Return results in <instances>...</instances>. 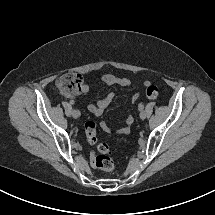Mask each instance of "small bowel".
Here are the masks:
<instances>
[{
	"label": "small bowel",
	"instance_id": "obj_1",
	"mask_svg": "<svg viewBox=\"0 0 215 215\" xmlns=\"http://www.w3.org/2000/svg\"><path fill=\"white\" fill-rule=\"evenodd\" d=\"M102 81L106 84V85H118L121 87H128L131 85V81L128 78L125 77H117L113 74H104L102 76ZM146 84H148V82H146ZM88 91V86L84 85L83 86V92H87ZM114 93L110 92L108 94H106L104 97H102L101 99H99L98 101H96L95 103L89 104L87 109L88 111L95 115V116H100L102 115V113L104 112V110L113 102L114 100ZM139 97L138 93H135L132 97L133 101H136ZM133 124V117L131 115H129L126 119L125 122L123 124V126L120 128L119 132L123 133L125 135H128L131 131V127ZM102 128L106 131V132H112V129L106 124V123H102Z\"/></svg>",
	"mask_w": 215,
	"mask_h": 215
}]
</instances>
